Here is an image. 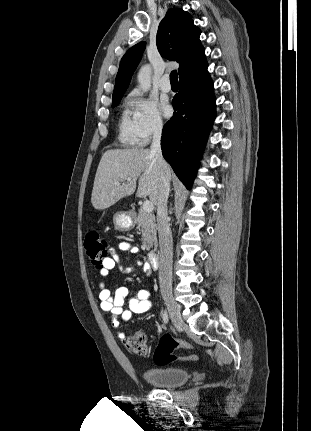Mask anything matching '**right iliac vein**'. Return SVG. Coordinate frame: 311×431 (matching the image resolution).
Here are the masks:
<instances>
[{
	"instance_id": "right-iliac-vein-1",
	"label": "right iliac vein",
	"mask_w": 311,
	"mask_h": 431,
	"mask_svg": "<svg viewBox=\"0 0 311 431\" xmlns=\"http://www.w3.org/2000/svg\"><path fill=\"white\" fill-rule=\"evenodd\" d=\"M163 299L167 306L168 312L170 314L171 320L175 327H180L182 325V318L180 314L179 305L175 302L172 295L169 292L163 293Z\"/></svg>"
}]
</instances>
